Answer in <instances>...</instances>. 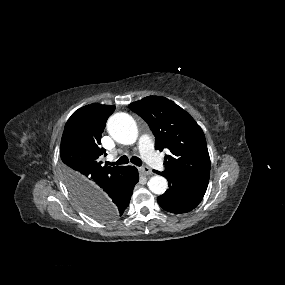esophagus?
<instances>
[{"label": "esophagus", "instance_id": "34e87169", "mask_svg": "<svg viewBox=\"0 0 285 285\" xmlns=\"http://www.w3.org/2000/svg\"><path fill=\"white\" fill-rule=\"evenodd\" d=\"M140 172L144 175H151L152 174V170L147 166L141 167Z\"/></svg>", "mask_w": 285, "mask_h": 285}]
</instances>
